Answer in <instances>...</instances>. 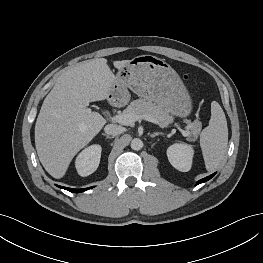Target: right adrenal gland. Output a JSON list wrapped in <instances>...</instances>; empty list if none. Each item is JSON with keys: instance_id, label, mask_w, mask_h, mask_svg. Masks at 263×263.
I'll return each mask as SVG.
<instances>
[{"instance_id": "2a0ac1e0", "label": "right adrenal gland", "mask_w": 263, "mask_h": 263, "mask_svg": "<svg viewBox=\"0 0 263 263\" xmlns=\"http://www.w3.org/2000/svg\"><path fill=\"white\" fill-rule=\"evenodd\" d=\"M103 136H106V138H113L112 136H109L108 134L102 133Z\"/></svg>"}]
</instances>
